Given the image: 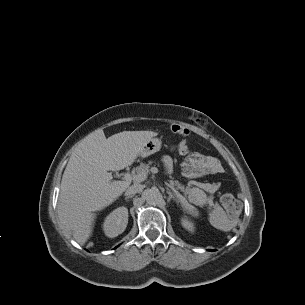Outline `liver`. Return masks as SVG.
<instances>
[{
	"label": "liver",
	"instance_id": "1",
	"mask_svg": "<svg viewBox=\"0 0 305 305\" xmlns=\"http://www.w3.org/2000/svg\"><path fill=\"white\" fill-rule=\"evenodd\" d=\"M153 131H123L106 138L102 130L85 137L72 153L61 181L58 199L60 223L84 244L92 234L94 212L110 205L130 185L112 181L108 171L133 164Z\"/></svg>",
	"mask_w": 305,
	"mask_h": 305
}]
</instances>
